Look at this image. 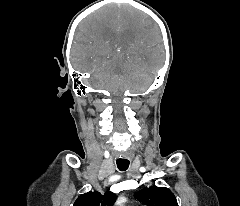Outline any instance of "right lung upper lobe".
Here are the masks:
<instances>
[{
  "label": "right lung upper lobe",
  "mask_w": 240,
  "mask_h": 206,
  "mask_svg": "<svg viewBox=\"0 0 240 206\" xmlns=\"http://www.w3.org/2000/svg\"><path fill=\"white\" fill-rule=\"evenodd\" d=\"M116 195L110 191L101 194L97 191H90L80 195L73 206H113Z\"/></svg>",
  "instance_id": "obj_1"
}]
</instances>
